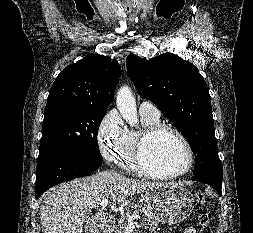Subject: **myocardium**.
I'll return each instance as SVG.
<instances>
[{
	"label": "myocardium",
	"instance_id": "myocardium-1",
	"mask_svg": "<svg viewBox=\"0 0 253 233\" xmlns=\"http://www.w3.org/2000/svg\"><path fill=\"white\" fill-rule=\"evenodd\" d=\"M164 132L174 135L186 148L188 162L186 167L182 171L176 173H157L149 169L145 162L144 155L148 144L156 136ZM134 160L139 172L144 174L145 176L155 179H175L183 177L191 171L194 164V151L188 139L178 129L167 124L159 123L157 125L146 128L141 133L136 145Z\"/></svg>",
	"mask_w": 253,
	"mask_h": 233
}]
</instances>
